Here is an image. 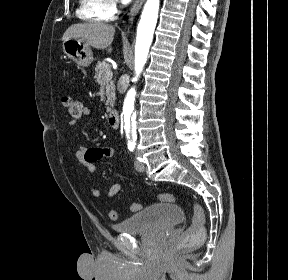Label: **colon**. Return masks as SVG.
Listing matches in <instances>:
<instances>
[{"label": "colon", "mask_w": 288, "mask_h": 280, "mask_svg": "<svg viewBox=\"0 0 288 280\" xmlns=\"http://www.w3.org/2000/svg\"><path fill=\"white\" fill-rule=\"evenodd\" d=\"M62 104L68 111L71 117L75 119H79L83 115V105L82 103L71 97L64 96L62 98ZM158 200L163 203H171L178 200V197L174 194H160L158 196ZM140 203H133L131 205L132 211H138L141 209ZM192 225L188 229V231L181 237L180 246L181 248H190L203 243L206 237V229H205V214L200 205L197 203L192 204ZM109 217L111 220H116L118 218V212L116 210H111L109 213Z\"/></svg>", "instance_id": "colon-1"}]
</instances>
